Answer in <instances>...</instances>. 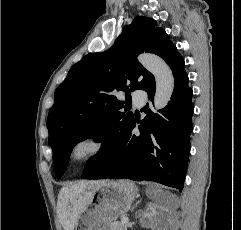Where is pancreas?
Here are the masks:
<instances>
[{"label": "pancreas", "instance_id": "obj_1", "mask_svg": "<svg viewBox=\"0 0 241 230\" xmlns=\"http://www.w3.org/2000/svg\"><path fill=\"white\" fill-rule=\"evenodd\" d=\"M111 230H127V225L122 222H113L111 224Z\"/></svg>", "mask_w": 241, "mask_h": 230}]
</instances>
